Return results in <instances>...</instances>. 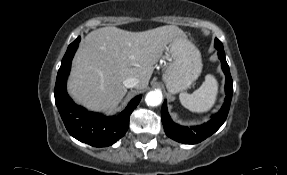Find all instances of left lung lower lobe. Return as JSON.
<instances>
[{"mask_svg":"<svg viewBox=\"0 0 287 175\" xmlns=\"http://www.w3.org/2000/svg\"><path fill=\"white\" fill-rule=\"evenodd\" d=\"M218 56L219 59L221 60L222 70L226 75V84H225L226 97L222 108L219 110L218 113L213 115L207 123L201 126L188 128L180 126L171 120L167 111V103L165 100L161 110L162 123L166 135L172 138L173 140L185 144L199 143L205 140L207 137L211 136L213 133H215L225 122L229 112L233 93V81L230 75L229 66L226 62L225 53L223 49H218Z\"/></svg>","mask_w":287,"mask_h":175,"instance_id":"left-lung-lower-lobe-1","label":"left lung lower lobe"}]
</instances>
